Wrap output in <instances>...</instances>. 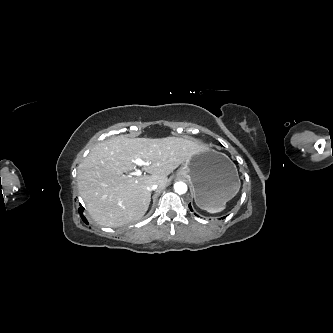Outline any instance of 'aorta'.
<instances>
[{"label":"aorta","instance_id":"762f6f07","mask_svg":"<svg viewBox=\"0 0 333 333\" xmlns=\"http://www.w3.org/2000/svg\"><path fill=\"white\" fill-rule=\"evenodd\" d=\"M175 192L178 194H184L187 192V185L184 182H177L174 184Z\"/></svg>","mask_w":333,"mask_h":333}]
</instances>
